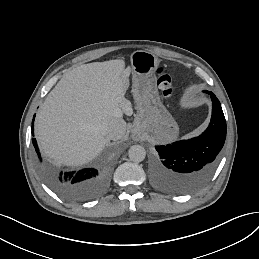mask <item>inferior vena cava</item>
<instances>
[{"instance_id":"obj_1","label":"inferior vena cava","mask_w":259,"mask_h":259,"mask_svg":"<svg viewBox=\"0 0 259 259\" xmlns=\"http://www.w3.org/2000/svg\"><path fill=\"white\" fill-rule=\"evenodd\" d=\"M99 131L109 140L122 139L126 133V123L120 118L102 122Z\"/></svg>"}]
</instances>
